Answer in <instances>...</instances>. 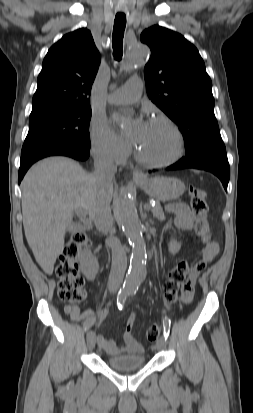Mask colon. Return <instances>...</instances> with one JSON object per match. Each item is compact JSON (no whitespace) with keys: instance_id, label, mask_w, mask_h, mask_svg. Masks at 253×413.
<instances>
[{"instance_id":"5ec220e1","label":"colon","mask_w":253,"mask_h":413,"mask_svg":"<svg viewBox=\"0 0 253 413\" xmlns=\"http://www.w3.org/2000/svg\"><path fill=\"white\" fill-rule=\"evenodd\" d=\"M189 196L191 209L196 216V233L203 237L209 231L206 192L199 186H192ZM88 244L89 238L85 233H75L65 244L55 268L58 278V296L71 306L82 303L86 298L84 280L79 273L78 258L80 250ZM189 270V262L182 260L168 272L163 283V299L167 304H172L177 300L181 280L185 273H189ZM159 334L160 327L152 325L147 329L146 337L153 342L157 340Z\"/></svg>"}]
</instances>
